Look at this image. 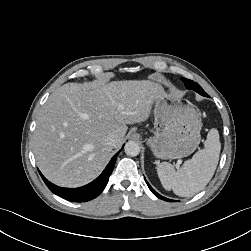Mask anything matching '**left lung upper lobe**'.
Returning a JSON list of instances; mask_svg holds the SVG:
<instances>
[{"label": "left lung upper lobe", "mask_w": 251, "mask_h": 251, "mask_svg": "<svg viewBox=\"0 0 251 251\" xmlns=\"http://www.w3.org/2000/svg\"><path fill=\"white\" fill-rule=\"evenodd\" d=\"M182 81L184 82V85L187 89H192L197 93L201 94L202 96L209 97L208 94L202 89V87L194 81L186 78H182Z\"/></svg>", "instance_id": "1"}]
</instances>
